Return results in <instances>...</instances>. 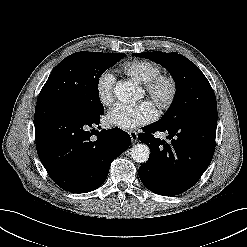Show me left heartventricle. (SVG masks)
Masks as SVG:
<instances>
[{"mask_svg": "<svg viewBox=\"0 0 247 247\" xmlns=\"http://www.w3.org/2000/svg\"><path fill=\"white\" fill-rule=\"evenodd\" d=\"M167 93H168V87L167 86H163V87H161V89L159 91V96L160 97H164V96H166ZM151 102L155 105L154 101H151Z\"/></svg>", "mask_w": 247, "mask_h": 247, "instance_id": "obj_1", "label": "left heart ventricle"}]
</instances>
